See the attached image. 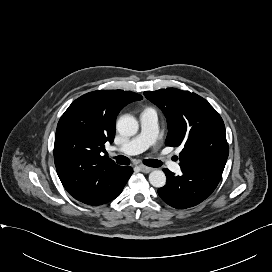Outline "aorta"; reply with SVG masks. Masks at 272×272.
Returning a JSON list of instances; mask_svg holds the SVG:
<instances>
[{"mask_svg": "<svg viewBox=\"0 0 272 272\" xmlns=\"http://www.w3.org/2000/svg\"><path fill=\"white\" fill-rule=\"evenodd\" d=\"M116 126L118 132L124 136L135 135L139 128L138 121L131 115L121 116ZM149 182L154 187H163L166 184V175L161 170H154L149 174Z\"/></svg>", "mask_w": 272, "mask_h": 272, "instance_id": "aorta-1", "label": "aorta"}]
</instances>
